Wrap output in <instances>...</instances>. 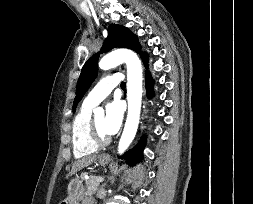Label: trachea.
Segmentation results:
<instances>
[{"label":"trachea","instance_id":"3493384b","mask_svg":"<svg viewBox=\"0 0 253 204\" xmlns=\"http://www.w3.org/2000/svg\"><path fill=\"white\" fill-rule=\"evenodd\" d=\"M125 86H126L125 82H121V87L125 88Z\"/></svg>","mask_w":253,"mask_h":204}]
</instances>
